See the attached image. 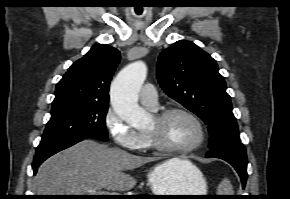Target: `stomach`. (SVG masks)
<instances>
[{
	"instance_id": "0dacf381",
	"label": "stomach",
	"mask_w": 290,
	"mask_h": 199,
	"mask_svg": "<svg viewBox=\"0 0 290 199\" xmlns=\"http://www.w3.org/2000/svg\"><path fill=\"white\" fill-rule=\"evenodd\" d=\"M154 195H206L207 182L202 172L192 163L169 167L165 162L156 165L147 175ZM164 198L197 199L198 196Z\"/></svg>"
}]
</instances>
